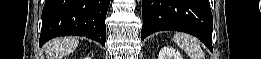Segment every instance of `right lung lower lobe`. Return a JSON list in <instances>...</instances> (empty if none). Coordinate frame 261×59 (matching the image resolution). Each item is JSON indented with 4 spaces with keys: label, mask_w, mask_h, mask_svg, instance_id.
<instances>
[{
    "label": "right lung lower lobe",
    "mask_w": 261,
    "mask_h": 59,
    "mask_svg": "<svg viewBox=\"0 0 261 59\" xmlns=\"http://www.w3.org/2000/svg\"><path fill=\"white\" fill-rule=\"evenodd\" d=\"M110 0H46L39 44L58 36H84L105 46Z\"/></svg>",
    "instance_id": "right-lung-lower-lobe-1"
}]
</instances>
